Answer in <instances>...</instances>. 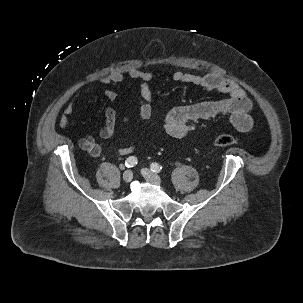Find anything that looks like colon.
Masks as SVG:
<instances>
[{
    "mask_svg": "<svg viewBox=\"0 0 303 303\" xmlns=\"http://www.w3.org/2000/svg\"><path fill=\"white\" fill-rule=\"evenodd\" d=\"M213 143L215 146L225 147L238 144V141L231 135L220 134L215 136Z\"/></svg>",
    "mask_w": 303,
    "mask_h": 303,
    "instance_id": "obj_1",
    "label": "colon"
}]
</instances>
